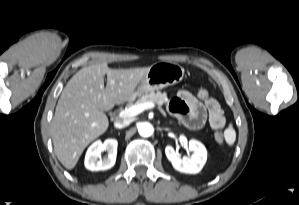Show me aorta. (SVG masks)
Wrapping results in <instances>:
<instances>
[{
    "instance_id": "obj_1",
    "label": "aorta",
    "mask_w": 299,
    "mask_h": 205,
    "mask_svg": "<svg viewBox=\"0 0 299 205\" xmlns=\"http://www.w3.org/2000/svg\"><path fill=\"white\" fill-rule=\"evenodd\" d=\"M138 132L142 137H149L153 134V126L148 122L140 123Z\"/></svg>"
}]
</instances>
